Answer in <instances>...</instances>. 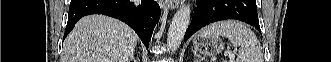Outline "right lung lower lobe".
I'll list each match as a JSON object with an SVG mask.
<instances>
[{
    "label": "right lung lower lobe",
    "instance_id": "obj_1",
    "mask_svg": "<svg viewBox=\"0 0 331 62\" xmlns=\"http://www.w3.org/2000/svg\"><path fill=\"white\" fill-rule=\"evenodd\" d=\"M91 14H104L128 24L140 37L146 48L152 36L154 26L159 20L160 7L153 0H71L66 37L77 21Z\"/></svg>",
    "mask_w": 331,
    "mask_h": 62
}]
</instances>
